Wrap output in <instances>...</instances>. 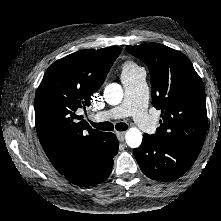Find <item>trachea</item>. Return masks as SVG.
<instances>
[{"mask_svg":"<svg viewBox=\"0 0 221 221\" xmlns=\"http://www.w3.org/2000/svg\"><path fill=\"white\" fill-rule=\"evenodd\" d=\"M91 125L99 130H103V131H111L114 129V125L111 122H101V123H94L92 121H90ZM115 128L118 131H125L128 128V125L126 123H117L115 125Z\"/></svg>","mask_w":221,"mask_h":221,"instance_id":"1","label":"trachea"}]
</instances>
